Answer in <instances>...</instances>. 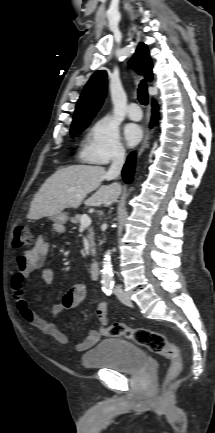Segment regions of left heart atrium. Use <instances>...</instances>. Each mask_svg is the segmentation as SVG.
<instances>
[{
  "label": "left heart atrium",
  "instance_id": "left-heart-atrium-1",
  "mask_svg": "<svg viewBox=\"0 0 215 433\" xmlns=\"http://www.w3.org/2000/svg\"><path fill=\"white\" fill-rule=\"evenodd\" d=\"M124 135L128 145L133 146L141 140L143 131L140 126L130 123L125 126Z\"/></svg>",
  "mask_w": 215,
  "mask_h": 433
}]
</instances>
